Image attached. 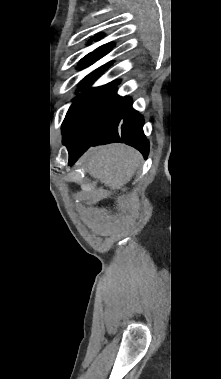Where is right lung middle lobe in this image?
<instances>
[{
  "instance_id": "right-lung-middle-lobe-1",
  "label": "right lung middle lobe",
  "mask_w": 221,
  "mask_h": 379,
  "mask_svg": "<svg viewBox=\"0 0 221 379\" xmlns=\"http://www.w3.org/2000/svg\"><path fill=\"white\" fill-rule=\"evenodd\" d=\"M118 83L89 89L87 85L70 107L63 125L65 143L94 140L115 114L121 97L116 94ZM86 90H89L86 92Z\"/></svg>"
}]
</instances>
